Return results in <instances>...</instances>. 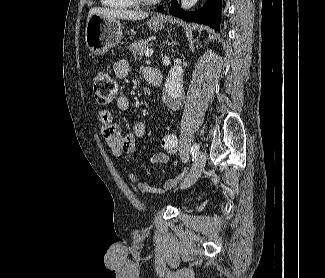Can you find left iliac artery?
I'll return each instance as SVG.
<instances>
[{
  "instance_id": "obj_1",
  "label": "left iliac artery",
  "mask_w": 325,
  "mask_h": 278,
  "mask_svg": "<svg viewBox=\"0 0 325 278\" xmlns=\"http://www.w3.org/2000/svg\"><path fill=\"white\" fill-rule=\"evenodd\" d=\"M199 151V145L197 143L193 144L191 148V154L194 156L198 153Z\"/></svg>"
}]
</instances>
